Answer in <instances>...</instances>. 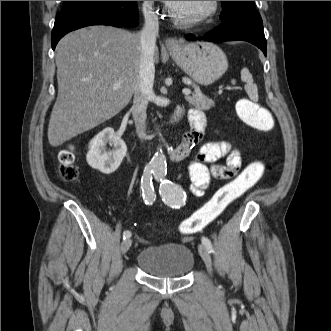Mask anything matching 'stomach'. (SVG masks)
Returning a JSON list of instances; mask_svg holds the SVG:
<instances>
[{"label": "stomach", "instance_id": "stomach-1", "mask_svg": "<svg viewBox=\"0 0 331 331\" xmlns=\"http://www.w3.org/2000/svg\"><path fill=\"white\" fill-rule=\"evenodd\" d=\"M172 56L182 70L201 85L214 83L228 68L225 53L211 42L179 44L173 48Z\"/></svg>", "mask_w": 331, "mask_h": 331}]
</instances>
